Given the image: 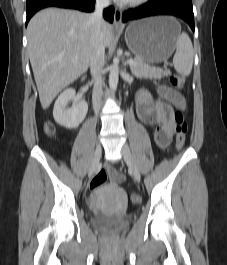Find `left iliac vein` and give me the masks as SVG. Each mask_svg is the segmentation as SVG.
Instances as JSON below:
<instances>
[{"instance_id": "left-iliac-vein-1", "label": "left iliac vein", "mask_w": 227, "mask_h": 265, "mask_svg": "<svg viewBox=\"0 0 227 265\" xmlns=\"http://www.w3.org/2000/svg\"><path fill=\"white\" fill-rule=\"evenodd\" d=\"M121 153L123 156L124 161L129 167V170L133 174L134 178L139 182L141 177H140V171L138 169V166L136 164V161L128 147L127 144H124L121 149Z\"/></svg>"}]
</instances>
